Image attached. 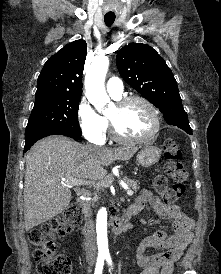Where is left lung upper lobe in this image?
<instances>
[{
  "mask_svg": "<svg viewBox=\"0 0 221 274\" xmlns=\"http://www.w3.org/2000/svg\"><path fill=\"white\" fill-rule=\"evenodd\" d=\"M116 64L121 77L157 107L165 119L170 117L168 121L176 124L188 121L187 114L182 117L177 113L183 106L174 75L151 46L131 43L123 47Z\"/></svg>",
  "mask_w": 221,
  "mask_h": 274,
  "instance_id": "obj_1",
  "label": "left lung upper lobe"
}]
</instances>
